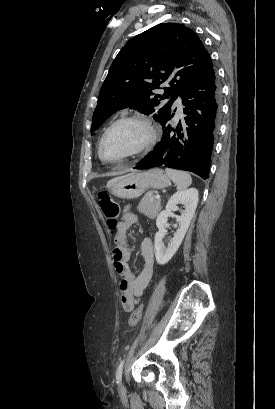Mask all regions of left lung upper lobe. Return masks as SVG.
I'll use <instances>...</instances> for the list:
<instances>
[{
	"mask_svg": "<svg viewBox=\"0 0 275 409\" xmlns=\"http://www.w3.org/2000/svg\"><path fill=\"white\" fill-rule=\"evenodd\" d=\"M213 67L197 34L179 23H161L135 36L118 53L102 85L91 132L113 113L132 108L161 124L184 88ZM168 83L163 94L160 84ZM171 98L168 102L163 100Z\"/></svg>",
	"mask_w": 275,
	"mask_h": 409,
	"instance_id": "1",
	"label": "left lung upper lobe"
}]
</instances>
